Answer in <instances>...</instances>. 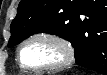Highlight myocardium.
Segmentation results:
<instances>
[{"label":"myocardium","instance_id":"obj_1","mask_svg":"<svg viewBox=\"0 0 107 75\" xmlns=\"http://www.w3.org/2000/svg\"><path fill=\"white\" fill-rule=\"evenodd\" d=\"M36 39H43V40L50 41L53 44H55L57 47H59L63 54L62 59L54 64L44 65L39 67H34L26 64L22 59L23 48L29 42ZM17 58H18L19 64L22 67L31 71L41 72V71L57 70L70 65L74 61L75 49L72 42L68 38L64 37L59 33L52 32V31H38L29 35L20 43L17 50Z\"/></svg>","mask_w":107,"mask_h":75}]
</instances>
